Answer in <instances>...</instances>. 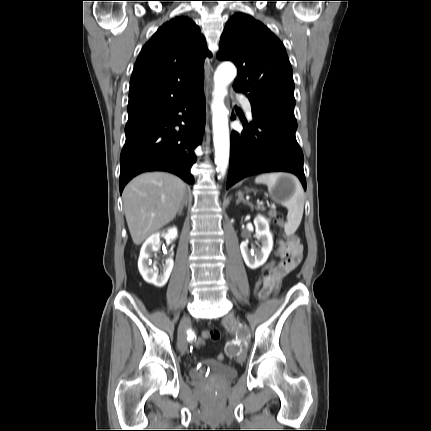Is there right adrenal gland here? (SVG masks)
Returning <instances> with one entry per match:
<instances>
[{"label":"right adrenal gland","instance_id":"1","mask_svg":"<svg viewBox=\"0 0 431 431\" xmlns=\"http://www.w3.org/2000/svg\"><path fill=\"white\" fill-rule=\"evenodd\" d=\"M187 198H188V195L187 193H185L182 204L179 209V215L182 213L184 206H187Z\"/></svg>","mask_w":431,"mask_h":431}]
</instances>
